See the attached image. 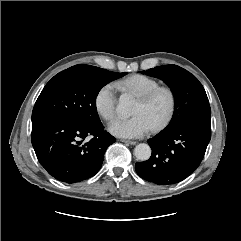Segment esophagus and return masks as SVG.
I'll use <instances>...</instances> for the list:
<instances>
[{"mask_svg":"<svg viewBox=\"0 0 241 241\" xmlns=\"http://www.w3.org/2000/svg\"><path fill=\"white\" fill-rule=\"evenodd\" d=\"M123 143H126V144H129V145H136V141L134 140H125V139H122L121 140Z\"/></svg>","mask_w":241,"mask_h":241,"instance_id":"obj_1","label":"esophagus"}]
</instances>
